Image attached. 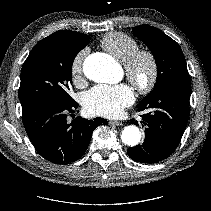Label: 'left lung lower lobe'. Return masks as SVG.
I'll use <instances>...</instances> for the list:
<instances>
[{
  "label": "left lung lower lobe",
  "instance_id": "0a47b994",
  "mask_svg": "<svg viewBox=\"0 0 211 211\" xmlns=\"http://www.w3.org/2000/svg\"><path fill=\"white\" fill-rule=\"evenodd\" d=\"M190 95V81L176 82L136 106L138 111L152 109L153 112L141 115L145 138L141 145L127 150L133 160L152 164L175 151L188 122Z\"/></svg>",
  "mask_w": 211,
  "mask_h": 211
}]
</instances>
